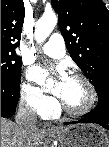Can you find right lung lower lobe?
Segmentation results:
<instances>
[{
  "label": "right lung lower lobe",
  "instance_id": "right-lung-lower-lobe-1",
  "mask_svg": "<svg viewBox=\"0 0 109 147\" xmlns=\"http://www.w3.org/2000/svg\"><path fill=\"white\" fill-rule=\"evenodd\" d=\"M20 95V83L1 81V117H12L17 108Z\"/></svg>",
  "mask_w": 109,
  "mask_h": 147
}]
</instances>
